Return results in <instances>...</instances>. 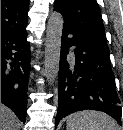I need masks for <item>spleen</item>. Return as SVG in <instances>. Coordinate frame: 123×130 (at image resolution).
Listing matches in <instances>:
<instances>
[{"label": "spleen", "mask_w": 123, "mask_h": 130, "mask_svg": "<svg viewBox=\"0 0 123 130\" xmlns=\"http://www.w3.org/2000/svg\"><path fill=\"white\" fill-rule=\"evenodd\" d=\"M66 130H116V123L103 112L86 110L70 114Z\"/></svg>", "instance_id": "1"}]
</instances>
